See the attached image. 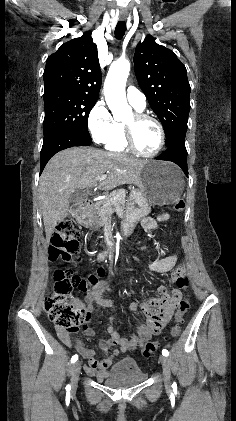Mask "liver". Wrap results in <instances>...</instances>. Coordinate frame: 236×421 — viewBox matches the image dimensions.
Instances as JSON below:
<instances>
[{"label":"liver","instance_id":"liver-1","mask_svg":"<svg viewBox=\"0 0 236 421\" xmlns=\"http://www.w3.org/2000/svg\"><path fill=\"white\" fill-rule=\"evenodd\" d=\"M145 160L107 152L97 148L71 146L54 154L39 178V204L47 243L60 221L69 211V200L76 188L97 186L95 176L107 174L100 180L101 190H112L117 184H138L139 170Z\"/></svg>","mask_w":236,"mask_h":421}]
</instances>
